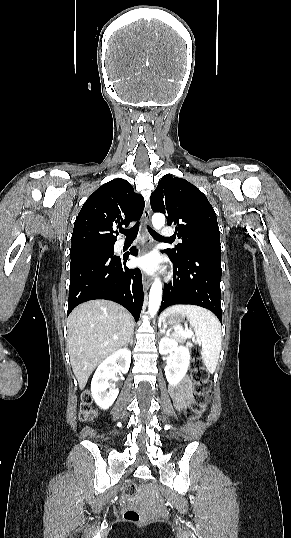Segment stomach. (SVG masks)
I'll return each mask as SVG.
<instances>
[{
  "label": "stomach",
  "mask_w": 291,
  "mask_h": 538,
  "mask_svg": "<svg viewBox=\"0 0 291 538\" xmlns=\"http://www.w3.org/2000/svg\"><path fill=\"white\" fill-rule=\"evenodd\" d=\"M183 317L184 316L181 314H172L167 316L163 322L165 326L170 325L173 327H180V322L182 321Z\"/></svg>",
  "instance_id": "stomach-1"
}]
</instances>
